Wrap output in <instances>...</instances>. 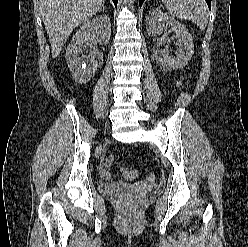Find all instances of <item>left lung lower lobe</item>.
Masks as SVG:
<instances>
[{"mask_svg":"<svg viewBox=\"0 0 248 247\" xmlns=\"http://www.w3.org/2000/svg\"><path fill=\"white\" fill-rule=\"evenodd\" d=\"M143 2H144V0H139V5H140V7L142 6ZM206 2H207L208 7H209V9H210V8H211V0H206Z\"/></svg>","mask_w":248,"mask_h":247,"instance_id":"left-lung-lower-lobe-1","label":"left lung lower lobe"}]
</instances>
